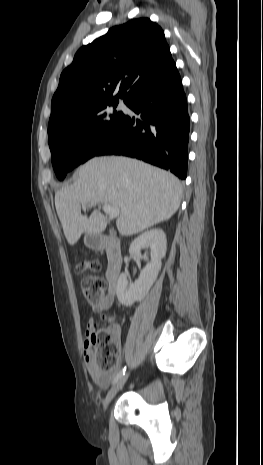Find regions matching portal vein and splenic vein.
<instances>
[{
	"mask_svg": "<svg viewBox=\"0 0 263 465\" xmlns=\"http://www.w3.org/2000/svg\"><path fill=\"white\" fill-rule=\"evenodd\" d=\"M82 208H86V204H82ZM102 210L112 219L117 218L120 214V208L118 206L104 204L102 205Z\"/></svg>",
	"mask_w": 263,
	"mask_h": 465,
	"instance_id": "portal-vein-and-splenic-vein-1",
	"label": "portal vein and splenic vein"
}]
</instances>
